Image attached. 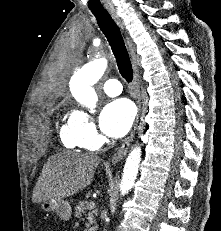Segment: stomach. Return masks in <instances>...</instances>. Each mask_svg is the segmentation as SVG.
Listing matches in <instances>:
<instances>
[{
	"mask_svg": "<svg viewBox=\"0 0 221 231\" xmlns=\"http://www.w3.org/2000/svg\"><path fill=\"white\" fill-rule=\"evenodd\" d=\"M40 208L46 212H55L61 219L67 221L71 218L72 208L68 201L63 199H49L41 202Z\"/></svg>",
	"mask_w": 221,
	"mask_h": 231,
	"instance_id": "stomach-1",
	"label": "stomach"
}]
</instances>
